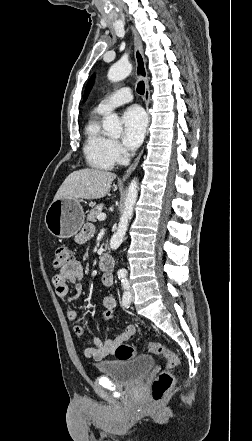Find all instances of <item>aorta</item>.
Segmentation results:
<instances>
[{
  "instance_id": "762f6f07",
  "label": "aorta",
  "mask_w": 252,
  "mask_h": 441,
  "mask_svg": "<svg viewBox=\"0 0 252 441\" xmlns=\"http://www.w3.org/2000/svg\"><path fill=\"white\" fill-rule=\"evenodd\" d=\"M132 71L131 63L127 61H119L112 65L108 71V79L112 82H118L125 79ZM103 128L109 135L117 137L122 132V124L117 114H111L105 117L103 121ZM138 197V180L133 179L129 184L126 199L124 202V209L119 220L117 231L110 240V247L116 250L124 240L127 232L129 222L133 216L134 206ZM125 270H119L118 274H125Z\"/></svg>"
}]
</instances>
